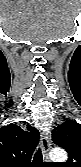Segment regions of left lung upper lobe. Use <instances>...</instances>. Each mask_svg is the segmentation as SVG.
Returning a JSON list of instances; mask_svg holds the SVG:
<instances>
[{
    "instance_id": "obj_1",
    "label": "left lung upper lobe",
    "mask_w": 81,
    "mask_h": 167,
    "mask_svg": "<svg viewBox=\"0 0 81 167\" xmlns=\"http://www.w3.org/2000/svg\"><path fill=\"white\" fill-rule=\"evenodd\" d=\"M52 140L69 154V159L64 163V167L81 166V125L79 123L67 120L57 126L52 132Z\"/></svg>"
}]
</instances>
